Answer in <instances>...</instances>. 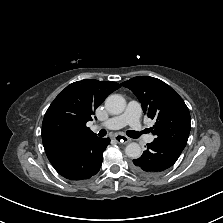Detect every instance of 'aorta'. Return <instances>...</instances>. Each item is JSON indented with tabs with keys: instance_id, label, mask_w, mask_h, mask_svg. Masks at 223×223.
Here are the masks:
<instances>
[{
	"instance_id": "aorta-1",
	"label": "aorta",
	"mask_w": 223,
	"mask_h": 223,
	"mask_svg": "<svg viewBox=\"0 0 223 223\" xmlns=\"http://www.w3.org/2000/svg\"><path fill=\"white\" fill-rule=\"evenodd\" d=\"M105 107L111 114H121L126 107V100L120 94H112L107 97ZM125 153L129 158L137 159L141 156L142 150L138 143H129L125 148Z\"/></svg>"
}]
</instances>
